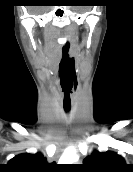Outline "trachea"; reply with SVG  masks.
<instances>
[{
  "label": "trachea",
  "mask_w": 133,
  "mask_h": 172,
  "mask_svg": "<svg viewBox=\"0 0 133 172\" xmlns=\"http://www.w3.org/2000/svg\"><path fill=\"white\" fill-rule=\"evenodd\" d=\"M64 109H65L66 112H69L70 107H64Z\"/></svg>",
  "instance_id": "3493384b"
}]
</instances>
